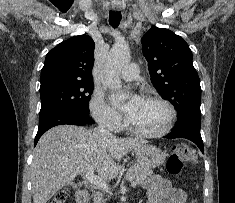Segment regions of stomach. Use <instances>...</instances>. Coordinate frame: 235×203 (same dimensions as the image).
<instances>
[{"label": "stomach", "mask_w": 235, "mask_h": 203, "mask_svg": "<svg viewBox=\"0 0 235 203\" xmlns=\"http://www.w3.org/2000/svg\"><path fill=\"white\" fill-rule=\"evenodd\" d=\"M137 162L144 167L154 168L161 165L166 157L165 152L153 145H143L135 148Z\"/></svg>", "instance_id": "obj_1"}]
</instances>
